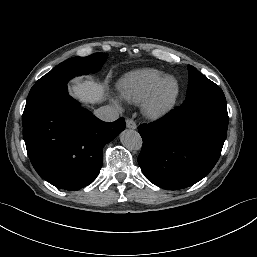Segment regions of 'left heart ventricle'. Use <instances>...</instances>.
<instances>
[{
	"mask_svg": "<svg viewBox=\"0 0 257 257\" xmlns=\"http://www.w3.org/2000/svg\"><path fill=\"white\" fill-rule=\"evenodd\" d=\"M175 90V82L173 80H167L160 93V103L167 101Z\"/></svg>",
	"mask_w": 257,
	"mask_h": 257,
	"instance_id": "left-heart-ventricle-1",
	"label": "left heart ventricle"
}]
</instances>
